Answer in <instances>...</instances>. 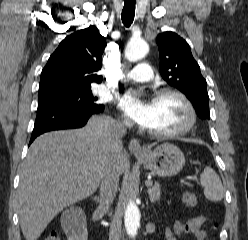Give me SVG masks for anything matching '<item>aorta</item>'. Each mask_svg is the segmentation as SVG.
<instances>
[{
    "instance_id": "obj_1",
    "label": "aorta",
    "mask_w": 248,
    "mask_h": 240,
    "mask_svg": "<svg viewBox=\"0 0 248 240\" xmlns=\"http://www.w3.org/2000/svg\"><path fill=\"white\" fill-rule=\"evenodd\" d=\"M149 51L148 44L143 40H131L125 48V57L129 61L135 62L146 56ZM124 223L127 234L135 238L140 225V211L137 205L130 201L126 207Z\"/></svg>"
}]
</instances>
